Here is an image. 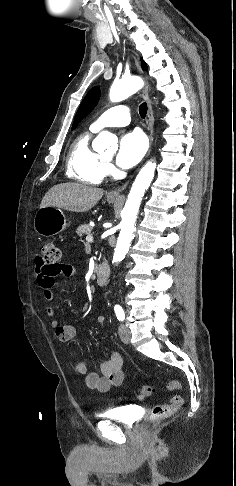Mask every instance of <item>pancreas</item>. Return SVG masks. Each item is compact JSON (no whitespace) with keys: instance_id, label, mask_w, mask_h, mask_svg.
I'll return each instance as SVG.
<instances>
[{"instance_id":"obj_1","label":"pancreas","mask_w":236,"mask_h":486,"mask_svg":"<svg viewBox=\"0 0 236 486\" xmlns=\"http://www.w3.org/2000/svg\"><path fill=\"white\" fill-rule=\"evenodd\" d=\"M92 227L87 224L80 225L76 233L82 237L83 235H91Z\"/></svg>"}]
</instances>
